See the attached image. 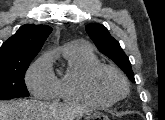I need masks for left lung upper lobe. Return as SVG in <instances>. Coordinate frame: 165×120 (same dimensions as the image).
Instances as JSON below:
<instances>
[{
    "instance_id": "5c2ea615",
    "label": "left lung upper lobe",
    "mask_w": 165,
    "mask_h": 120,
    "mask_svg": "<svg viewBox=\"0 0 165 120\" xmlns=\"http://www.w3.org/2000/svg\"><path fill=\"white\" fill-rule=\"evenodd\" d=\"M86 31L99 51L117 64L126 73L129 79L135 83L134 74L128 57L120 47L119 42L110 35L107 28L102 24L91 23L86 26Z\"/></svg>"
}]
</instances>
